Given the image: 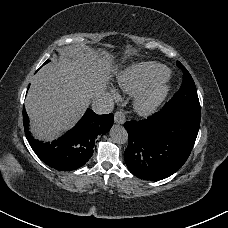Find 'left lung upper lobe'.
<instances>
[{
    "label": "left lung upper lobe",
    "instance_id": "obj_1",
    "mask_svg": "<svg viewBox=\"0 0 228 228\" xmlns=\"http://www.w3.org/2000/svg\"><path fill=\"white\" fill-rule=\"evenodd\" d=\"M177 66L183 71V81L179 91L166 105L169 114L186 115L201 118V108L195 83L187 69L177 61Z\"/></svg>",
    "mask_w": 228,
    "mask_h": 228
}]
</instances>
